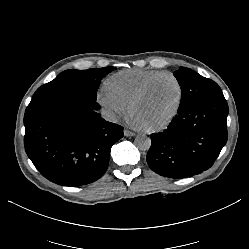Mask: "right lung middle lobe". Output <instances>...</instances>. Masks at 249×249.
I'll list each match as a JSON object with an SVG mask.
<instances>
[{"instance_id":"1","label":"right lung middle lobe","mask_w":249,"mask_h":249,"mask_svg":"<svg viewBox=\"0 0 249 249\" xmlns=\"http://www.w3.org/2000/svg\"><path fill=\"white\" fill-rule=\"evenodd\" d=\"M113 70H116V68L104 67L63 71L54 80L39 87L33 97L53 92L71 91L80 93L86 99L96 101L97 89L101 80Z\"/></svg>"}]
</instances>
